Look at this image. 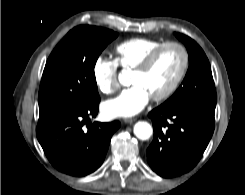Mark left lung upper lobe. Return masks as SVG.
Wrapping results in <instances>:
<instances>
[{
    "instance_id": "5c2ea615",
    "label": "left lung upper lobe",
    "mask_w": 245,
    "mask_h": 195,
    "mask_svg": "<svg viewBox=\"0 0 245 195\" xmlns=\"http://www.w3.org/2000/svg\"><path fill=\"white\" fill-rule=\"evenodd\" d=\"M188 51L189 68L182 85L162 105L215 109L216 90L209 61L201 47L190 37L175 33Z\"/></svg>"
}]
</instances>
